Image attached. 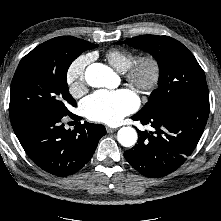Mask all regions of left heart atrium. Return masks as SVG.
Here are the masks:
<instances>
[{
  "label": "left heart atrium",
  "mask_w": 221,
  "mask_h": 221,
  "mask_svg": "<svg viewBox=\"0 0 221 221\" xmlns=\"http://www.w3.org/2000/svg\"><path fill=\"white\" fill-rule=\"evenodd\" d=\"M138 105L137 95L130 89L122 88L97 91L84 100L82 107L88 119L112 125L136 110Z\"/></svg>",
  "instance_id": "obj_1"
}]
</instances>
